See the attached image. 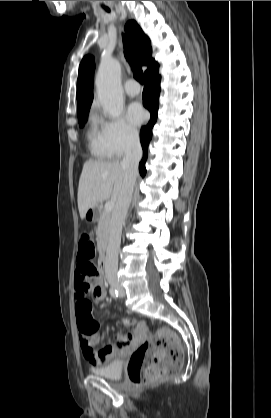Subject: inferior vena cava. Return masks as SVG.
Returning a JSON list of instances; mask_svg holds the SVG:
<instances>
[{"label": "inferior vena cava", "mask_w": 271, "mask_h": 418, "mask_svg": "<svg viewBox=\"0 0 271 418\" xmlns=\"http://www.w3.org/2000/svg\"><path fill=\"white\" fill-rule=\"evenodd\" d=\"M142 157V148L138 135H133L128 143L122 165L125 168V180L122 192L115 204L111 218L110 237L105 260V275L109 283H117L118 253L121 243L122 227L131 203L138 164Z\"/></svg>", "instance_id": "obj_1"}]
</instances>
